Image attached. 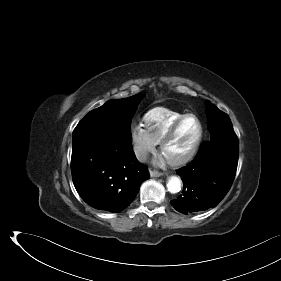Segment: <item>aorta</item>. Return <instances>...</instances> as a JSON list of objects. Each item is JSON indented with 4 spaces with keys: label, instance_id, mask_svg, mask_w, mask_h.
Listing matches in <instances>:
<instances>
[{
    "label": "aorta",
    "instance_id": "762f6f07",
    "mask_svg": "<svg viewBox=\"0 0 281 281\" xmlns=\"http://www.w3.org/2000/svg\"><path fill=\"white\" fill-rule=\"evenodd\" d=\"M167 189L172 194L178 193L181 190V180L176 176L170 177L167 183Z\"/></svg>",
    "mask_w": 281,
    "mask_h": 281
}]
</instances>
